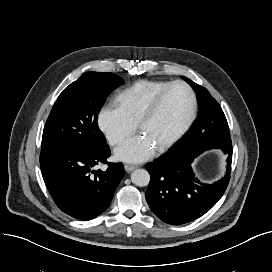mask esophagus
<instances>
[{"label":"esophagus","mask_w":272,"mask_h":272,"mask_svg":"<svg viewBox=\"0 0 272 272\" xmlns=\"http://www.w3.org/2000/svg\"><path fill=\"white\" fill-rule=\"evenodd\" d=\"M124 168H125V170L127 172H131V171L135 170L136 168H138V166L137 165H131V164H125Z\"/></svg>","instance_id":"1"}]
</instances>
